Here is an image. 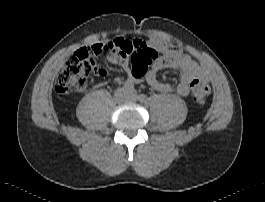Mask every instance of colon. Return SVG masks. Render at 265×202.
Here are the masks:
<instances>
[{"label":"colon","instance_id":"obj_1","mask_svg":"<svg viewBox=\"0 0 265 202\" xmlns=\"http://www.w3.org/2000/svg\"><path fill=\"white\" fill-rule=\"evenodd\" d=\"M109 52H116L129 58L131 74L134 79L140 80L146 74L149 64L158 57L161 50L124 39L94 44L66 61L55 80V90L59 93L85 90L87 80L93 73H104L96 58ZM191 91L194 102L204 105L211 94V87L208 82L195 79L191 83Z\"/></svg>","mask_w":265,"mask_h":202}]
</instances>
